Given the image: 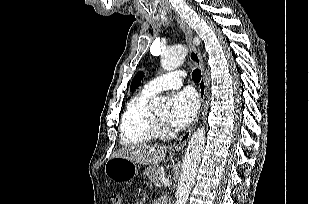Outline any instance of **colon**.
I'll use <instances>...</instances> for the list:
<instances>
[{
	"instance_id": "colon-1",
	"label": "colon",
	"mask_w": 309,
	"mask_h": 204,
	"mask_svg": "<svg viewBox=\"0 0 309 204\" xmlns=\"http://www.w3.org/2000/svg\"><path fill=\"white\" fill-rule=\"evenodd\" d=\"M111 198L113 204H121V195L119 193H113Z\"/></svg>"
}]
</instances>
